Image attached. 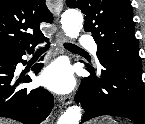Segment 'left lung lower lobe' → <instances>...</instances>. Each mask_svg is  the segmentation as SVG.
Returning <instances> with one entry per match:
<instances>
[{"instance_id": "0a47b994", "label": "left lung lower lobe", "mask_w": 145, "mask_h": 124, "mask_svg": "<svg viewBox=\"0 0 145 124\" xmlns=\"http://www.w3.org/2000/svg\"><path fill=\"white\" fill-rule=\"evenodd\" d=\"M101 65L103 69L99 72L87 65L91 75L82 80L75 95V101L85 110L83 121L111 115L145 124L142 71L118 63Z\"/></svg>"}]
</instances>
